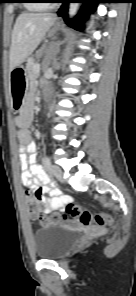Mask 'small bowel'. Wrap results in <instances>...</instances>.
<instances>
[{"instance_id": "small-bowel-1", "label": "small bowel", "mask_w": 136, "mask_h": 296, "mask_svg": "<svg viewBox=\"0 0 136 296\" xmlns=\"http://www.w3.org/2000/svg\"><path fill=\"white\" fill-rule=\"evenodd\" d=\"M28 96L30 100L26 101L25 107L16 117V125L20 129L18 141L22 183L28 190L40 192V199L44 205L43 212L62 211L69 203L70 198L55 187L38 163L37 146L28 131L36 110L34 91H30Z\"/></svg>"}]
</instances>
